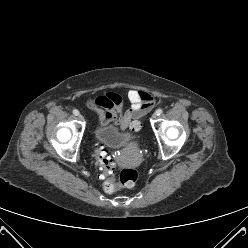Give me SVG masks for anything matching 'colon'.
<instances>
[{
  "label": "colon",
  "mask_w": 248,
  "mask_h": 248,
  "mask_svg": "<svg viewBox=\"0 0 248 248\" xmlns=\"http://www.w3.org/2000/svg\"><path fill=\"white\" fill-rule=\"evenodd\" d=\"M140 123L135 122L132 125L134 131L140 130ZM97 164L101 169L102 176H111L115 170V164L113 159L107 154L103 147L97 146L95 148ZM139 177V173L134 168H126L122 170L120 174L119 183H116L113 179H108L103 184V189L107 193L115 192L119 187L130 188L133 187Z\"/></svg>",
  "instance_id": "colon-1"
}]
</instances>
